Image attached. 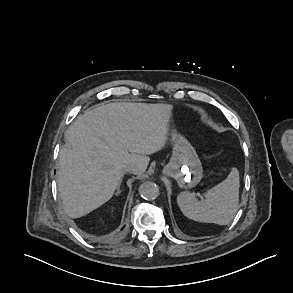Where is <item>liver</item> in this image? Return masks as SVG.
Instances as JSON below:
<instances>
[{"mask_svg": "<svg viewBox=\"0 0 293 293\" xmlns=\"http://www.w3.org/2000/svg\"><path fill=\"white\" fill-rule=\"evenodd\" d=\"M173 108L167 104L110 103L87 110L65 132L58 190L71 218L97 209L113 196L129 166L145 172L148 155L167 141Z\"/></svg>", "mask_w": 293, "mask_h": 293, "instance_id": "6515ba94", "label": "liver"}]
</instances>
